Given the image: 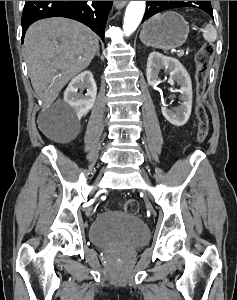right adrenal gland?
Masks as SVG:
<instances>
[{
    "mask_svg": "<svg viewBox=\"0 0 237 300\" xmlns=\"http://www.w3.org/2000/svg\"><path fill=\"white\" fill-rule=\"evenodd\" d=\"M96 55H98V57H100L99 49H98V51H97Z\"/></svg>",
    "mask_w": 237,
    "mask_h": 300,
    "instance_id": "2a0ac1e0",
    "label": "right adrenal gland"
}]
</instances>
